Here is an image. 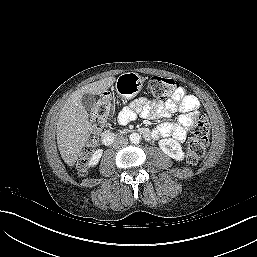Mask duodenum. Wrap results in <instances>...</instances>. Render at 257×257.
<instances>
[{
    "label": "duodenum",
    "instance_id": "1",
    "mask_svg": "<svg viewBox=\"0 0 257 257\" xmlns=\"http://www.w3.org/2000/svg\"><path fill=\"white\" fill-rule=\"evenodd\" d=\"M140 133L147 138L150 136V131L147 128L140 129ZM115 138H116V134L111 131H108L103 134L102 142L104 145L109 146L114 142Z\"/></svg>",
    "mask_w": 257,
    "mask_h": 257
}]
</instances>
